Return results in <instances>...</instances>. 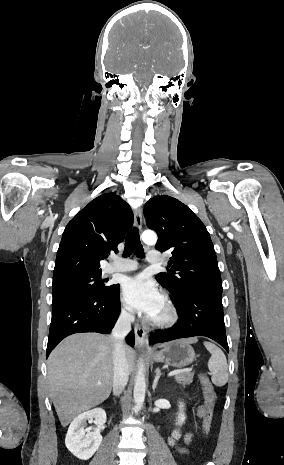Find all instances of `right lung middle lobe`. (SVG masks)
I'll return each mask as SVG.
<instances>
[{
  "instance_id": "obj_1",
  "label": "right lung middle lobe",
  "mask_w": 284,
  "mask_h": 465,
  "mask_svg": "<svg viewBox=\"0 0 284 465\" xmlns=\"http://www.w3.org/2000/svg\"><path fill=\"white\" fill-rule=\"evenodd\" d=\"M107 280L101 278V273L77 274L53 280V302L76 293H106L115 285H106Z\"/></svg>"
}]
</instances>
